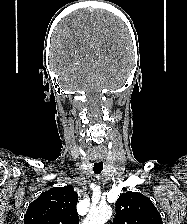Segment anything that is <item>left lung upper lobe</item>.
Segmentation results:
<instances>
[{"label":"left lung upper lobe","mask_w":187,"mask_h":224,"mask_svg":"<svg viewBox=\"0 0 187 224\" xmlns=\"http://www.w3.org/2000/svg\"><path fill=\"white\" fill-rule=\"evenodd\" d=\"M113 224H163L151 200L138 192L128 191L116 201Z\"/></svg>","instance_id":"left-lung-upper-lobe-1"}]
</instances>
